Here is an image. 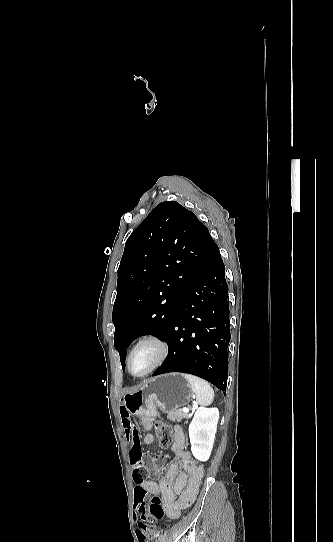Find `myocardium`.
<instances>
[{
    "instance_id": "obj_1",
    "label": "myocardium",
    "mask_w": 333,
    "mask_h": 542,
    "mask_svg": "<svg viewBox=\"0 0 333 542\" xmlns=\"http://www.w3.org/2000/svg\"><path fill=\"white\" fill-rule=\"evenodd\" d=\"M146 345H152L155 348L156 351V358L152 365L144 372L136 374L131 371V361L136 354V352ZM169 355V347L168 344L159 336L149 334L141 337L139 340L135 342V344L130 349L127 358H126V370L127 372L134 378H143L157 369H159L167 360Z\"/></svg>"
}]
</instances>
